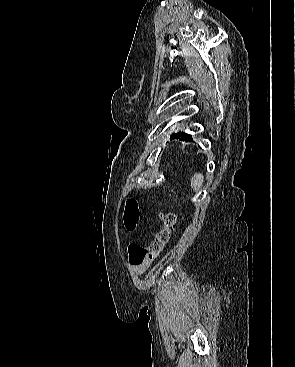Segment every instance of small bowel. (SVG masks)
<instances>
[{"label": "small bowel", "mask_w": 295, "mask_h": 367, "mask_svg": "<svg viewBox=\"0 0 295 367\" xmlns=\"http://www.w3.org/2000/svg\"><path fill=\"white\" fill-rule=\"evenodd\" d=\"M132 265L133 271L136 274H143L150 266V264H143V265Z\"/></svg>", "instance_id": "c3829d8e"}]
</instances>
